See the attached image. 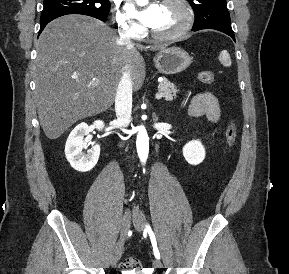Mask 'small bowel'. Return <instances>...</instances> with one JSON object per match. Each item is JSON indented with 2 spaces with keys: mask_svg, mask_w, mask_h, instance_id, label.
<instances>
[{
  "mask_svg": "<svg viewBox=\"0 0 289 274\" xmlns=\"http://www.w3.org/2000/svg\"><path fill=\"white\" fill-rule=\"evenodd\" d=\"M189 115L193 118L206 116L211 122H217L220 107L216 96L209 91L195 94L190 101Z\"/></svg>",
  "mask_w": 289,
  "mask_h": 274,
  "instance_id": "1",
  "label": "small bowel"
}]
</instances>
